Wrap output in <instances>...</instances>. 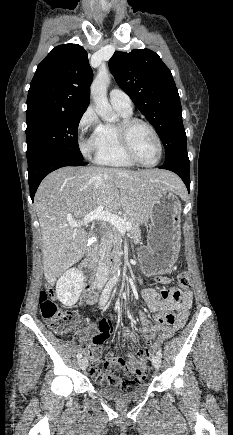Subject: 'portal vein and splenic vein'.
I'll return each mask as SVG.
<instances>
[{
	"label": "portal vein and splenic vein",
	"instance_id": "1",
	"mask_svg": "<svg viewBox=\"0 0 233 435\" xmlns=\"http://www.w3.org/2000/svg\"><path fill=\"white\" fill-rule=\"evenodd\" d=\"M93 220L107 221L114 227H116L121 233H125L132 227V223L130 221L126 222L124 219L117 216L116 214L105 211L102 205L98 206L95 210L87 214L81 222L70 221L69 224L72 227H81L86 226L89 222Z\"/></svg>",
	"mask_w": 233,
	"mask_h": 435
}]
</instances>
